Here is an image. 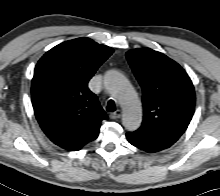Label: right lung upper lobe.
Listing matches in <instances>:
<instances>
[{
    "label": "right lung upper lobe",
    "mask_w": 220,
    "mask_h": 196,
    "mask_svg": "<svg viewBox=\"0 0 220 196\" xmlns=\"http://www.w3.org/2000/svg\"><path fill=\"white\" fill-rule=\"evenodd\" d=\"M113 53L89 38L61 43L38 62L32 80V105L44 131L56 145L76 151L97 138L105 111L88 81Z\"/></svg>",
    "instance_id": "cb5924a9"
}]
</instances>
